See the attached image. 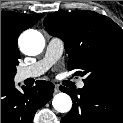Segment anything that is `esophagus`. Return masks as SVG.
I'll return each instance as SVG.
<instances>
[{"label": "esophagus", "instance_id": "esophagus-1", "mask_svg": "<svg viewBox=\"0 0 123 123\" xmlns=\"http://www.w3.org/2000/svg\"><path fill=\"white\" fill-rule=\"evenodd\" d=\"M58 92H59V86L58 85H55L54 93H58Z\"/></svg>", "mask_w": 123, "mask_h": 123}]
</instances>
